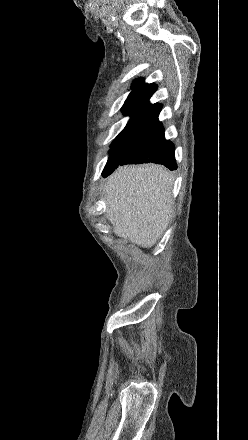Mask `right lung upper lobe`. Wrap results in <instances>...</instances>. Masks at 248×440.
I'll list each match as a JSON object with an SVG mask.
<instances>
[{"instance_id":"1","label":"right lung upper lobe","mask_w":248,"mask_h":440,"mask_svg":"<svg viewBox=\"0 0 248 440\" xmlns=\"http://www.w3.org/2000/svg\"><path fill=\"white\" fill-rule=\"evenodd\" d=\"M132 89L133 91L122 107V112L125 115H130L131 119L121 133L135 131L141 125L157 116L162 108L161 104L149 103L150 97L157 89L155 84H145L143 79L140 78L134 81Z\"/></svg>"}]
</instances>
